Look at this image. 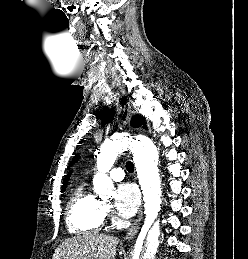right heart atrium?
<instances>
[{
	"label": "right heart atrium",
	"instance_id": "d8ad5b80",
	"mask_svg": "<svg viewBox=\"0 0 248 259\" xmlns=\"http://www.w3.org/2000/svg\"><path fill=\"white\" fill-rule=\"evenodd\" d=\"M103 210H104L105 216H109L111 214L110 207L107 204H103Z\"/></svg>",
	"mask_w": 248,
	"mask_h": 259
}]
</instances>
